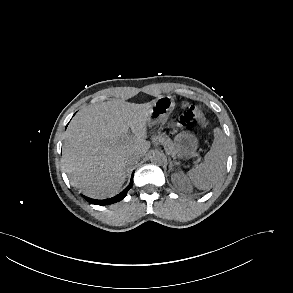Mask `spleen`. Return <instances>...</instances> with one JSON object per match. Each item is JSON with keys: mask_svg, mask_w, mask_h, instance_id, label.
I'll return each instance as SVG.
<instances>
[{"mask_svg": "<svg viewBox=\"0 0 293 293\" xmlns=\"http://www.w3.org/2000/svg\"><path fill=\"white\" fill-rule=\"evenodd\" d=\"M226 157V139L221 129L215 128L211 149L203 163L188 172L189 181L198 189L212 187L224 171Z\"/></svg>", "mask_w": 293, "mask_h": 293, "instance_id": "obj_1", "label": "spleen"}]
</instances>
